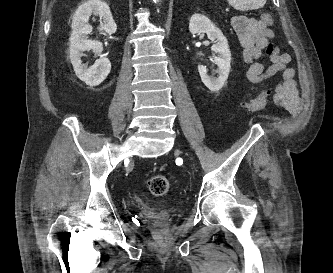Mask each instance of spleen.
<instances>
[{
  "mask_svg": "<svg viewBox=\"0 0 333 273\" xmlns=\"http://www.w3.org/2000/svg\"><path fill=\"white\" fill-rule=\"evenodd\" d=\"M267 0H228L229 5L240 11L262 8Z\"/></svg>",
  "mask_w": 333,
  "mask_h": 273,
  "instance_id": "obj_1",
  "label": "spleen"
}]
</instances>
